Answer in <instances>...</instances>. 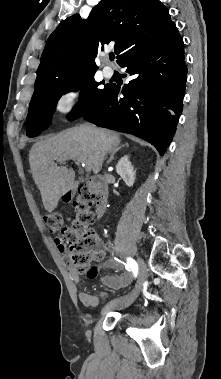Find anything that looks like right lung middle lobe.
Instances as JSON below:
<instances>
[{"label": "right lung middle lobe", "instance_id": "obj_1", "mask_svg": "<svg viewBox=\"0 0 221 379\" xmlns=\"http://www.w3.org/2000/svg\"><path fill=\"white\" fill-rule=\"evenodd\" d=\"M93 73L58 80L33 94L27 116V136L35 137L51 123L53 112L61 95L80 89V103L69 113L68 119L79 118L95 105L108 90L109 85L99 88Z\"/></svg>", "mask_w": 221, "mask_h": 379}]
</instances>
